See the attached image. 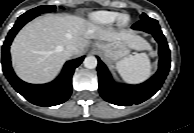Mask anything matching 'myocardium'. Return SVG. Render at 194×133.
<instances>
[{
    "instance_id": "1",
    "label": "myocardium",
    "mask_w": 194,
    "mask_h": 133,
    "mask_svg": "<svg viewBox=\"0 0 194 133\" xmlns=\"http://www.w3.org/2000/svg\"><path fill=\"white\" fill-rule=\"evenodd\" d=\"M118 25L121 27H125L130 23V17L127 14H122L118 18Z\"/></svg>"
}]
</instances>
